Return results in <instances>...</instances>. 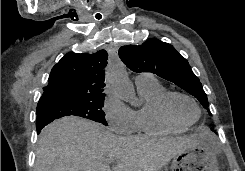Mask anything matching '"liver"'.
I'll return each instance as SVG.
<instances>
[{"mask_svg": "<svg viewBox=\"0 0 245 171\" xmlns=\"http://www.w3.org/2000/svg\"><path fill=\"white\" fill-rule=\"evenodd\" d=\"M202 136L120 137L98 123L64 117L41 132L34 171H158ZM108 160L117 163L112 170Z\"/></svg>", "mask_w": 245, "mask_h": 171, "instance_id": "liver-1", "label": "liver"}]
</instances>
